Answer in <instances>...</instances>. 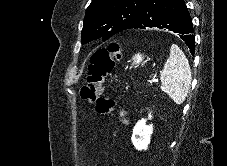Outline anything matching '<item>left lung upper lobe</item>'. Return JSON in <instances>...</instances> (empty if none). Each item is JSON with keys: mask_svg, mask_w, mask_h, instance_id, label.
Here are the masks:
<instances>
[{"mask_svg": "<svg viewBox=\"0 0 227 166\" xmlns=\"http://www.w3.org/2000/svg\"><path fill=\"white\" fill-rule=\"evenodd\" d=\"M147 0H93L87 8L82 43L132 29Z\"/></svg>", "mask_w": 227, "mask_h": 166, "instance_id": "1", "label": "left lung upper lobe"}]
</instances>
